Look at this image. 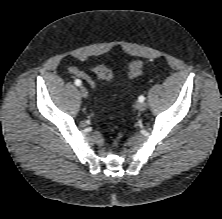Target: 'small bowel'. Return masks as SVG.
<instances>
[{
	"label": "small bowel",
	"instance_id": "small-bowel-1",
	"mask_svg": "<svg viewBox=\"0 0 222 219\" xmlns=\"http://www.w3.org/2000/svg\"><path fill=\"white\" fill-rule=\"evenodd\" d=\"M70 73L75 76L78 77L82 80H85L86 82H88L91 85H94L92 79L90 78L89 75H87L86 73H84L82 70H80L79 68L73 66L70 68Z\"/></svg>",
	"mask_w": 222,
	"mask_h": 219
}]
</instances>
